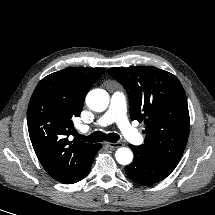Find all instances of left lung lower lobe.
Masks as SVG:
<instances>
[{
	"label": "left lung lower lobe",
	"instance_id": "left-lung-lower-lobe-1",
	"mask_svg": "<svg viewBox=\"0 0 215 215\" xmlns=\"http://www.w3.org/2000/svg\"><path fill=\"white\" fill-rule=\"evenodd\" d=\"M134 153L133 162L125 167L127 176L142 185H152L166 178L174 168L156 161L141 146L129 145Z\"/></svg>",
	"mask_w": 215,
	"mask_h": 215
}]
</instances>
